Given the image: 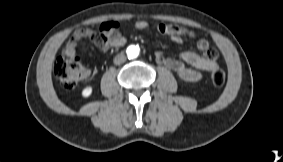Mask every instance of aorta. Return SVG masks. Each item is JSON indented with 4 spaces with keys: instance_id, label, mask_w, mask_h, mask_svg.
<instances>
[{
    "instance_id": "aorta-1",
    "label": "aorta",
    "mask_w": 283,
    "mask_h": 162,
    "mask_svg": "<svg viewBox=\"0 0 283 162\" xmlns=\"http://www.w3.org/2000/svg\"><path fill=\"white\" fill-rule=\"evenodd\" d=\"M127 55L130 59H134L139 55V47L137 46H129L127 48Z\"/></svg>"
}]
</instances>
